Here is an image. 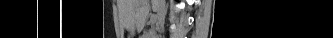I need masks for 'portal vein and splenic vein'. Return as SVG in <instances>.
<instances>
[{
  "instance_id": "portal-vein-and-splenic-vein-1",
  "label": "portal vein and splenic vein",
  "mask_w": 333,
  "mask_h": 38,
  "mask_svg": "<svg viewBox=\"0 0 333 38\" xmlns=\"http://www.w3.org/2000/svg\"><path fill=\"white\" fill-rule=\"evenodd\" d=\"M157 18H158L157 15L152 14L151 17H150V21H151V23L156 22V21H157Z\"/></svg>"
}]
</instances>
